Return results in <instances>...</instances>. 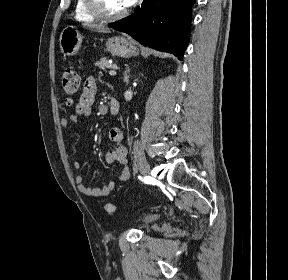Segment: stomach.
Returning <instances> with one entry per match:
<instances>
[{
    "instance_id": "obj_1",
    "label": "stomach",
    "mask_w": 288,
    "mask_h": 280,
    "mask_svg": "<svg viewBox=\"0 0 288 280\" xmlns=\"http://www.w3.org/2000/svg\"><path fill=\"white\" fill-rule=\"evenodd\" d=\"M60 49L65 55H76L81 47L82 36L74 26L63 29L59 39ZM108 51L119 57H132L138 54L137 47L122 36L111 37L106 42Z\"/></svg>"
}]
</instances>
